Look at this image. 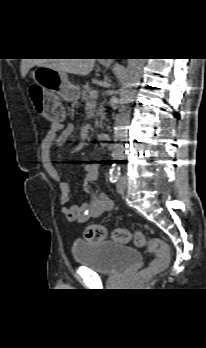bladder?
<instances>
[{"label":"bladder","mask_w":206,"mask_h":348,"mask_svg":"<svg viewBox=\"0 0 206 348\" xmlns=\"http://www.w3.org/2000/svg\"><path fill=\"white\" fill-rule=\"evenodd\" d=\"M76 263L105 275H117L141 261L140 252L114 241H75L72 247Z\"/></svg>","instance_id":"obj_1"}]
</instances>
